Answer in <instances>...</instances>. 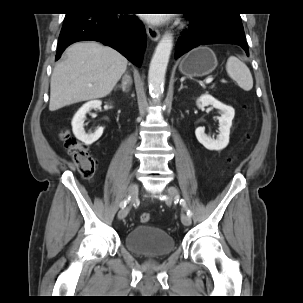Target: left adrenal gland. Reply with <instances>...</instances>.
Returning a JSON list of instances; mask_svg holds the SVG:
<instances>
[{"instance_id": "1", "label": "left adrenal gland", "mask_w": 303, "mask_h": 303, "mask_svg": "<svg viewBox=\"0 0 303 303\" xmlns=\"http://www.w3.org/2000/svg\"><path fill=\"white\" fill-rule=\"evenodd\" d=\"M184 88L183 83L181 82L180 88L178 91H181Z\"/></svg>"}]
</instances>
